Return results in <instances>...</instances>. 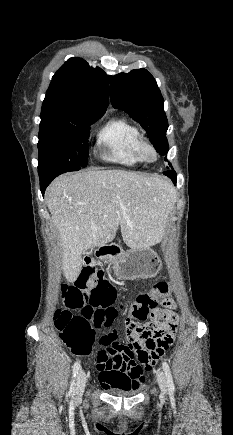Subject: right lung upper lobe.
I'll return each instance as SVG.
<instances>
[{"label": "right lung upper lobe", "mask_w": 233, "mask_h": 435, "mask_svg": "<svg viewBox=\"0 0 233 435\" xmlns=\"http://www.w3.org/2000/svg\"><path fill=\"white\" fill-rule=\"evenodd\" d=\"M108 77L81 58H70L52 77L41 119L102 116L108 106Z\"/></svg>", "instance_id": "cb5924a9"}]
</instances>
